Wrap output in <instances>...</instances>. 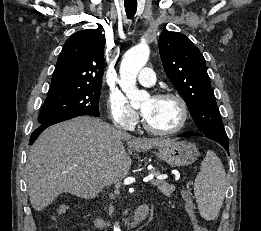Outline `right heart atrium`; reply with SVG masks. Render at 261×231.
Wrapping results in <instances>:
<instances>
[{
	"instance_id": "d8ad5b80",
	"label": "right heart atrium",
	"mask_w": 261,
	"mask_h": 231,
	"mask_svg": "<svg viewBox=\"0 0 261 231\" xmlns=\"http://www.w3.org/2000/svg\"><path fill=\"white\" fill-rule=\"evenodd\" d=\"M107 107L113 124L119 128L130 131L138 124V113L130 107L121 94L116 92L110 93Z\"/></svg>"
}]
</instances>
